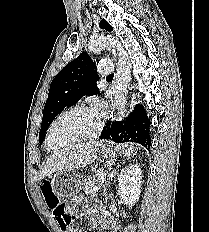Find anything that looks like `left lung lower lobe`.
<instances>
[{
  "label": "left lung lower lobe",
  "mask_w": 209,
  "mask_h": 232,
  "mask_svg": "<svg viewBox=\"0 0 209 232\" xmlns=\"http://www.w3.org/2000/svg\"><path fill=\"white\" fill-rule=\"evenodd\" d=\"M150 120L142 105H136L124 121H113L107 124L101 133V139H111L116 143L136 142L150 149Z\"/></svg>",
  "instance_id": "0a47b994"
}]
</instances>
